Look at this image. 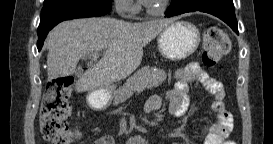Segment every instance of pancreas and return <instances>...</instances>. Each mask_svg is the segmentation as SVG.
<instances>
[{"label":"pancreas","instance_id":"1","mask_svg":"<svg viewBox=\"0 0 273 144\" xmlns=\"http://www.w3.org/2000/svg\"><path fill=\"white\" fill-rule=\"evenodd\" d=\"M167 78L164 70L155 67H143L134 73L126 83L115 90L114 102L122 103L126 101L134 92L142 91L146 88H153L161 85Z\"/></svg>","mask_w":273,"mask_h":144}]
</instances>
